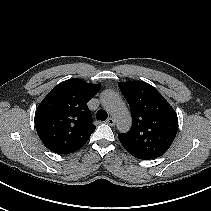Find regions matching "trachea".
Wrapping results in <instances>:
<instances>
[{
	"label": "trachea",
	"mask_w": 211,
	"mask_h": 211,
	"mask_svg": "<svg viewBox=\"0 0 211 211\" xmlns=\"http://www.w3.org/2000/svg\"><path fill=\"white\" fill-rule=\"evenodd\" d=\"M108 117V114L104 110H98L96 114L97 120L105 121Z\"/></svg>",
	"instance_id": "obj_1"
}]
</instances>
